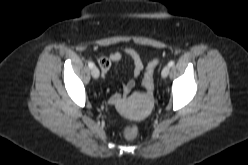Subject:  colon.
I'll return each mask as SVG.
<instances>
[{
  "label": "colon",
  "mask_w": 248,
  "mask_h": 165,
  "mask_svg": "<svg viewBox=\"0 0 248 165\" xmlns=\"http://www.w3.org/2000/svg\"><path fill=\"white\" fill-rule=\"evenodd\" d=\"M158 65V59L151 60L147 65L142 81L143 89L147 95H151L154 91L155 71ZM121 133L125 139L134 140L138 136V128L134 125H125L121 128Z\"/></svg>",
  "instance_id": "obj_1"
}]
</instances>
